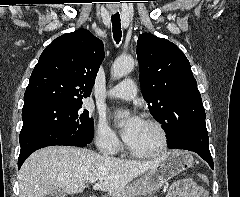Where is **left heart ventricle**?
I'll return each mask as SVG.
<instances>
[{"label":"left heart ventricle","instance_id":"b2bd125f","mask_svg":"<svg viewBox=\"0 0 240 197\" xmlns=\"http://www.w3.org/2000/svg\"><path fill=\"white\" fill-rule=\"evenodd\" d=\"M159 144V135L157 130L150 124L143 122L141 129L136 137L128 145L139 151H150Z\"/></svg>","mask_w":240,"mask_h":197}]
</instances>
